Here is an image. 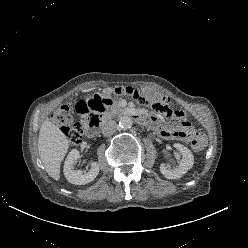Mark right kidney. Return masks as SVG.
Wrapping results in <instances>:
<instances>
[{"instance_id":"1","label":"right kidney","mask_w":248,"mask_h":248,"mask_svg":"<svg viewBox=\"0 0 248 248\" xmlns=\"http://www.w3.org/2000/svg\"><path fill=\"white\" fill-rule=\"evenodd\" d=\"M80 158V153L77 149H73L68 154L64 164V175L67 181L75 185H85L93 181L99 173V164L91 163L89 172L83 173L81 170H74V165Z\"/></svg>"}]
</instances>
